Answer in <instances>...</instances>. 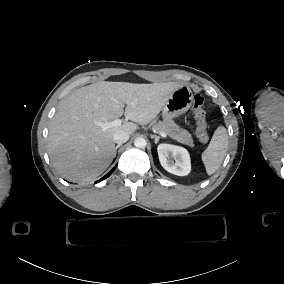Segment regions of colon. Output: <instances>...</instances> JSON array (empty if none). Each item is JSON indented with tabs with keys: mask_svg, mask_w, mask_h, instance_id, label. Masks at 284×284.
I'll return each mask as SVG.
<instances>
[{
	"mask_svg": "<svg viewBox=\"0 0 284 284\" xmlns=\"http://www.w3.org/2000/svg\"><path fill=\"white\" fill-rule=\"evenodd\" d=\"M193 113L197 126V135L201 142L208 141L207 129V114L204 110V99L199 94H194L192 97Z\"/></svg>",
	"mask_w": 284,
	"mask_h": 284,
	"instance_id": "1",
	"label": "colon"
}]
</instances>
